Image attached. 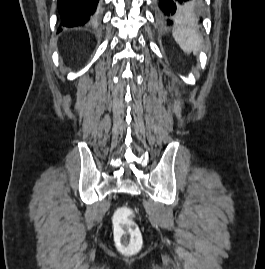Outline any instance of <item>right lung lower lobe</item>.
Instances as JSON below:
<instances>
[{
    "instance_id": "98d812e1",
    "label": "right lung lower lobe",
    "mask_w": 265,
    "mask_h": 269,
    "mask_svg": "<svg viewBox=\"0 0 265 269\" xmlns=\"http://www.w3.org/2000/svg\"><path fill=\"white\" fill-rule=\"evenodd\" d=\"M99 0H58L60 27L81 26L93 16Z\"/></svg>"
}]
</instances>
